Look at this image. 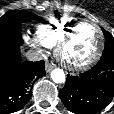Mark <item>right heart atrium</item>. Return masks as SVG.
Returning <instances> with one entry per match:
<instances>
[{
  "label": "right heart atrium",
  "instance_id": "obj_1",
  "mask_svg": "<svg viewBox=\"0 0 114 114\" xmlns=\"http://www.w3.org/2000/svg\"><path fill=\"white\" fill-rule=\"evenodd\" d=\"M25 40L33 45L35 44L34 41L29 36H25Z\"/></svg>",
  "mask_w": 114,
  "mask_h": 114
}]
</instances>
